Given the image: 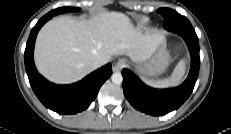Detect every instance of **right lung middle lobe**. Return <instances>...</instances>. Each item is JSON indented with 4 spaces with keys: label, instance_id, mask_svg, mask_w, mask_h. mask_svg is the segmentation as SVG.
<instances>
[{
    "label": "right lung middle lobe",
    "instance_id": "right-lung-middle-lobe-1",
    "mask_svg": "<svg viewBox=\"0 0 231 134\" xmlns=\"http://www.w3.org/2000/svg\"><path fill=\"white\" fill-rule=\"evenodd\" d=\"M68 11L74 12V11H77V8H74V7H63V8H58V9L52 10V11L49 12L48 14L54 16V15H56V14H60V13H63V12H68Z\"/></svg>",
    "mask_w": 231,
    "mask_h": 134
}]
</instances>
